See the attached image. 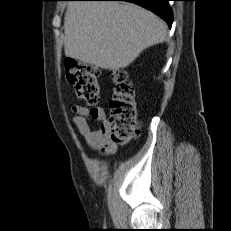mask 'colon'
I'll list each match as a JSON object with an SVG mask.
<instances>
[{
	"label": "colon",
	"mask_w": 231,
	"mask_h": 231,
	"mask_svg": "<svg viewBox=\"0 0 231 231\" xmlns=\"http://www.w3.org/2000/svg\"><path fill=\"white\" fill-rule=\"evenodd\" d=\"M65 68L76 96L88 105L96 104L100 99L98 69L72 58L66 59ZM114 82V94L110 101V135L113 143L123 145L129 142L137 130V99L125 71H117Z\"/></svg>",
	"instance_id": "5ec220e1"
}]
</instances>
